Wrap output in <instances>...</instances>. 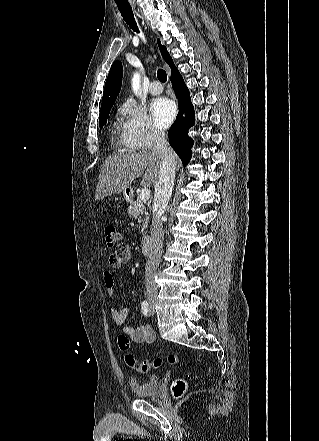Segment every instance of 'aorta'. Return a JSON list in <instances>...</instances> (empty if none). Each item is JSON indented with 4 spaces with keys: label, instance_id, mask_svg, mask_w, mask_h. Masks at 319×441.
Segmentation results:
<instances>
[{
    "label": "aorta",
    "instance_id": "1",
    "mask_svg": "<svg viewBox=\"0 0 319 441\" xmlns=\"http://www.w3.org/2000/svg\"><path fill=\"white\" fill-rule=\"evenodd\" d=\"M140 88H141L140 74L135 72L132 77V89L136 96L140 94Z\"/></svg>",
    "mask_w": 319,
    "mask_h": 441
}]
</instances>
